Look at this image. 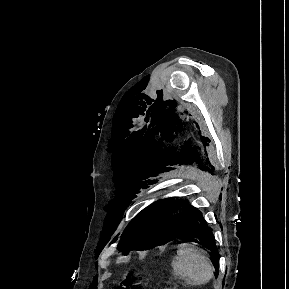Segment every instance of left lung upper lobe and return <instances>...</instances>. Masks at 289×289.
<instances>
[{
  "label": "left lung upper lobe",
  "instance_id": "5c2ea615",
  "mask_svg": "<svg viewBox=\"0 0 289 289\" xmlns=\"http://www.w3.org/2000/svg\"><path fill=\"white\" fill-rule=\"evenodd\" d=\"M173 200L157 201L141 211L122 233L119 249L128 254L131 250H145L150 245L166 243L169 236L168 219L162 209Z\"/></svg>",
  "mask_w": 289,
  "mask_h": 289
}]
</instances>
